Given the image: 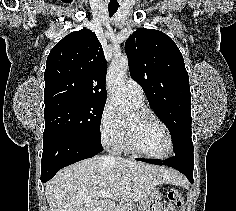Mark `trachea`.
<instances>
[{
    "label": "trachea",
    "mask_w": 236,
    "mask_h": 211,
    "mask_svg": "<svg viewBox=\"0 0 236 211\" xmlns=\"http://www.w3.org/2000/svg\"><path fill=\"white\" fill-rule=\"evenodd\" d=\"M117 9H118V6H113V7L109 6L108 7L109 16L112 17L116 13Z\"/></svg>",
    "instance_id": "obj_1"
}]
</instances>
